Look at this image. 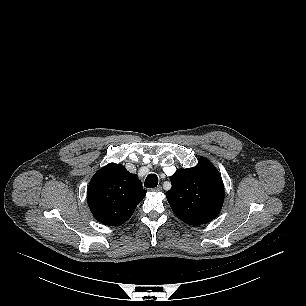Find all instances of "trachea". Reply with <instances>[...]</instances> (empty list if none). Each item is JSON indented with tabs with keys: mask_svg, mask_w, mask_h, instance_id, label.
Segmentation results:
<instances>
[{
	"mask_svg": "<svg viewBox=\"0 0 306 306\" xmlns=\"http://www.w3.org/2000/svg\"><path fill=\"white\" fill-rule=\"evenodd\" d=\"M158 185V177L155 174H149L146 179L144 186L146 188H155Z\"/></svg>",
	"mask_w": 306,
	"mask_h": 306,
	"instance_id": "3493384b",
	"label": "trachea"
}]
</instances>
